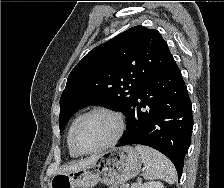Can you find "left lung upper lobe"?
Masks as SVG:
<instances>
[{
    "label": "left lung upper lobe",
    "mask_w": 224,
    "mask_h": 188,
    "mask_svg": "<svg viewBox=\"0 0 224 188\" xmlns=\"http://www.w3.org/2000/svg\"><path fill=\"white\" fill-rule=\"evenodd\" d=\"M173 60L161 34L144 26H134L95 47L68 77L60 99V131L74 113L95 104L117 109L129 121L142 86Z\"/></svg>",
    "instance_id": "left-lung-upper-lobe-1"
}]
</instances>
